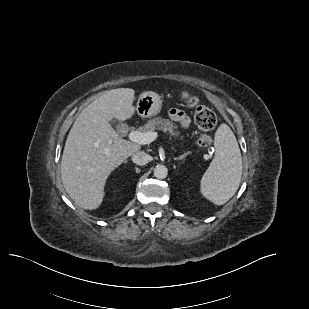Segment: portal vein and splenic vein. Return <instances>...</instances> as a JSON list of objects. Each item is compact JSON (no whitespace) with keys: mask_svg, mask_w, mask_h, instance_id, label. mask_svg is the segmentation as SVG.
Returning <instances> with one entry per match:
<instances>
[{"mask_svg":"<svg viewBox=\"0 0 309 309\" xmlns=\"http://www.w3.org/2000/svg\"><path fill=\"white\" fill-rule=\"evenodd\" d=\"M129 139L138 144H150L157 137V132H139V131H131L128 135Z\"/></svg>","mask_w":309,"mask_h":309,"instance_id":"obj_1","label":"portal vein and splenic vein"}]
</instances>
